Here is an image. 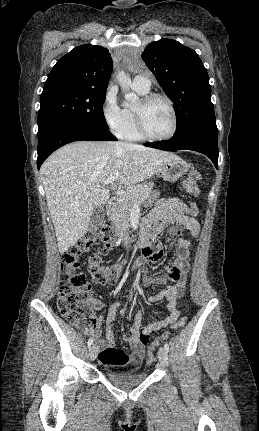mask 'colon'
<instances>
[{
  "label": "colon",
  "mask_w": 259,
  "mask_h": 431,
  "mask_svg": "<svg viewBox=\"0 0 259 431\" xmlns=\"http://www.w3.org/2000/svg\"><path fill=\"white\" fill-rule=\"evenodd\" d=\"M200 179L201 173L196 169H192L184 182L185 190L191 194L197 195L199 193L197 182ZM199 212L200 207L196 206L195 203H190V215L196 217ZM176 231L181 233L182 228L178 226ZM98 243L102 245L96 252L91 254L87 260L86 272L91 279L90 282L87 279V275L84 274L80 268L79 257ZM114 244L113 226L110 223H106L96 230L87 233L62 255L60 265L65 275V280L61 282L58 291L57 306L62 316L77 327L93 329L97 326L98 320L92 313V304L90 302L92 282L105 285L114 283L119 277L124 265L123 262L110 266L102 264L103 257L108 254ZM162 257L163 251L156 246L148 245L142 249L143 260L159 261ZM186 321V317L182 316L177 318L172 323L170 329L164 332L161 337L149 347L146 357L147 363H152L154 361L156 349L160 346L161 342L167 339L172 331H178L183 328ZM149 336L150 334L147 332H142L140 341L143 344H147L149 342Z\"/></svg>",
  "instance_id": "obj_1"
}]
</instances>
